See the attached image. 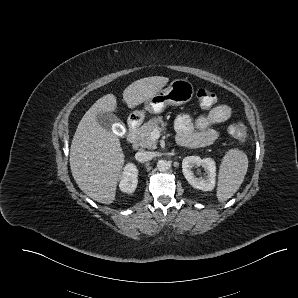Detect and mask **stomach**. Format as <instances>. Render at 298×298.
Returning <instances> with one entry per match:
<instances>
[{"label": "stomach", "mask_w": 298, "mask_h": 298, "mask_svg": "<svg viewBox=\"0 0 298 298\" xmlns=\"http://www.w3.org/2000/svg\"><path fill=\"white\" fill-rule=\"evenodd\" d=\"M194 93L193 85L184 79L173 80L168 87L158 90L144 101L142 110L133 114L144 119L146 113L159 115L169 106H178L189 102Z\"/></svg>", "instance_id": "1"}]
</instances>
